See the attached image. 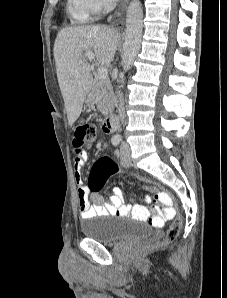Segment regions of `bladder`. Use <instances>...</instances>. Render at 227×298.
Here are the masks:
<instances>
[{
	"label": "bladder",
	"instance_id": "31cf9c89",
	"mask_svg": "<svg viewBox=\"0 0 227 298\" xmlns=\"http://www.w3.org/2000/svg\"><path fill=\"white\" fill-rule=\"evenodd\" d=\"M81 232L87 238L112 245L121 241L147 238L152 234V228L144 222L123 218L84 221Z\"/></svg>",
	"mask_w": 227,
	"mask_h": 298
}]
</instances>
